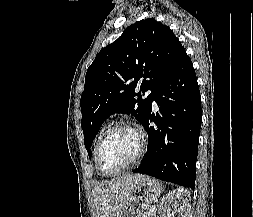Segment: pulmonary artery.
<instances>
[{
  "instance_id": "e3ab8cb5",
  "label": "pulmonary artery",
  "mask_w": 253,
  "mask_h": 217,
  "mask_svg": "<svg viewBox=\"0 0 253 217\" xmlns=\"http://www.w3.org/2000/svg\"><path fill=\"white\" fill-rule=\"evenodd\" d=\"M151 90H148L147 91V94H151ZM152 102H153V106H154V108H157V104H156V101H155V99L154 98H152Z\"/></svg>"
}]
</instances>
